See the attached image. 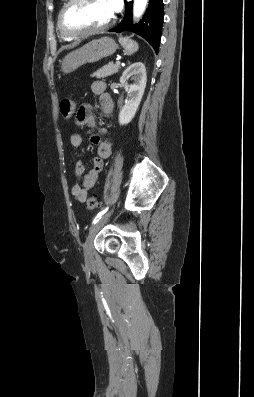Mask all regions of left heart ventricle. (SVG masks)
Segmentation results:
<instances>
[{
	"instance_id": "1",
	"label": "left heart ventricle",
	"mask_w": 254,
	"mask_h": 397,
	"mask_svg": "<svg viewBox=\"0 0 254 397\" xmlns=\"http://www.w3.org/2000/svg\"><path fill=\"white\" fill-rule=\"evenodd\" d=\"M111 17L105 0H84L69 8L64 24L71 30L90 29L104 25Z\"/></svg>"
}]
</instances>
